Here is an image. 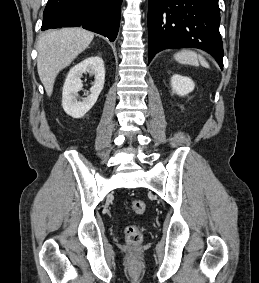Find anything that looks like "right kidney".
Returning <instances> with one entry per match:
<instances>
[{"label":"right kidney","instance_id":"1","mask_svg":"<svg viewBox=\"0 0 259 283\" xmlns=\"http://www.w3.org/2000/svg\"><path fill=\"white\" fill-rule=\"evenodd\" d=\"M84 73L93 75L95 81L90 93L82 101H77L78 92L83 84L81 77ZM105 82V67L102 58L89 57L75 65L68 73L62 92V106L64 111L73 118L83 117L96 103Z\"/></svg>","mask_w":259,"mask_h":283}]
</instances>
